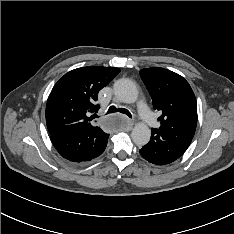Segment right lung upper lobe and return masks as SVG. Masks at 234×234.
I'll list each match as a JSON object with an SVG mask.
<instances>
[{
	"mask_svg": "<svg viewBox=\"0 0 234 234\" xmlns=\"http://www.w3.org/2000/svg\"><path fill=\"white\" fill-rule=\"evenodd\" d=\"M120 72L115 67L88 66L74 69L53 87L46 105V123L50 135L88 126L97 112L98 92ZM95 115V114H94Z\"/></svg>",
	"mask_w": 234,
	"mask_h": 234,
	"instance_id": "cb5924a9",
	"label": "right lung upper lobe"
}]
</instances>
